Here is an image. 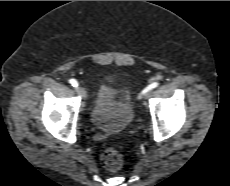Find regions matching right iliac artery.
I'll return each mask as SVG.
<instances>
[{
  "mask_svg": "<svg viewBox=\"0 0 230 186\" xmlns=\"http://www.w3.org/2000/svg\"><path fill=\"white\" fill-rule=\"evenodd\" d=\"M69 83L73 86V87H77L78 86V82L75 79H70Z\"/></svg>",
  "mask_w": 230,
  "mask_h": 186,
  "instance_id": "obj_1",
  "label": "right iliac artery"
}]
</instances>
